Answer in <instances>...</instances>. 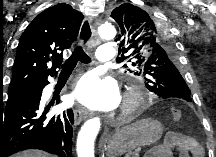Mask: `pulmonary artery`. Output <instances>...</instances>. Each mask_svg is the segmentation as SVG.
<instances>
[{"instance_id":"obj_1","label":"pulmonary artery","mask_w":216,"mask_h":157,"mask_svg":"<svg viewBox=\"0 0 216 157\" xmlns=\"http://www.w3.org/2000/svg\"><path fill=\"white\" fill-rule=\"evenodd\" d=\"M95 55L99 61L107 62L112 61L115 58L116 51L114 46L111 44L101 45Z\"/></svg>"}]
</instances>
